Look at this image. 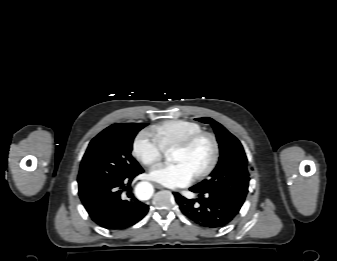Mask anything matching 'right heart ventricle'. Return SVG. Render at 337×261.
I'll use <instances>...</instances> for the list:
<instances>
[{
	"mask_svg": "<svg viewBox=\"0 0 337 261\" xmlns=\"http://www.w3.org/2000/svg\"><path fill=\"white\" fill-rule=\"evenodd\" d=\"M202 130L198 123L188 120H168L152 128L153 134L165 151L174 149L186 138Z\"/></svg>",
	"mask_w": 337,
	"mask_h": 261,
	"instance_id": "right-heart-ventricle-1",
	"label": "right heart ventricle"
}]
</instances>
